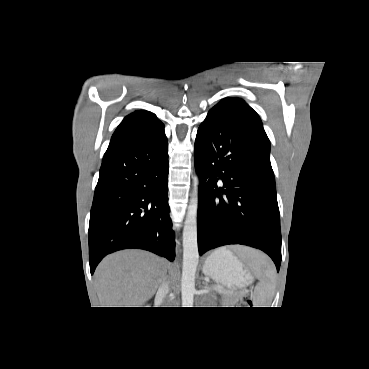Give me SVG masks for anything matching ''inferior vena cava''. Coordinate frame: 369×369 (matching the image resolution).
Returning a JSON list of instances; mask_svg holds the SVG:
<instances>
[{"label": "inferior vena cava", "instance_id": "1", "mask_svg": "<svg viewBox=\"0 0 369 369\" xmlns=\"http://www.w3.org/2000/svg\"><path fill=\"white\" fill-rule=\"evenodd\" d=\"M169 291V287H168V282L166 281V278H164V280L161 282L160 286H159V292L166 296L168 294ZM167 304H171V301L167 302Z\"/></svg>", "mask_w": 369, "mask_h": 369}]
</instances>
